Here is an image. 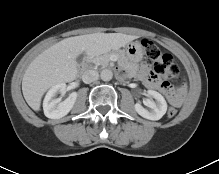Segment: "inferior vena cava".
Segmentation results:
<instances>
[{
	"label": "inferior vena cava",
	"mask_w": 219,
	"mask_h": 174,
	"mask_svg": "<svg viewBox=\"0 0 219 174\" xmlns=\"http://www.w3.org/2000/svg\"><path fill=\"white\" fill-rule=\"evenodd\" d=\"M98 77H99V73L96 70H86L82 74V80L86 84L96 81Z\"/></svg>",
	"instance_id": "1"
}]
</instances>
